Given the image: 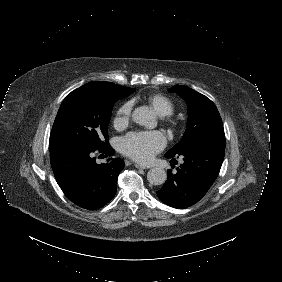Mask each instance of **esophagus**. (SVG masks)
<instances>
[{"mask_svg": "<svg viewBox=\"0 0 282 282\" xmlns=\"http://www.w3.org/2000/svg\"><path fill=\"white\" fill-rule=\"evenodd\" d=\"M135 167L138 168V169H147V167H145L141 164H138V163L135 164Z\"/></svg>", "mask_w": 282, "mask_h": 282, "instance_id": "1", "label": "esophagus"}]
</instances>
